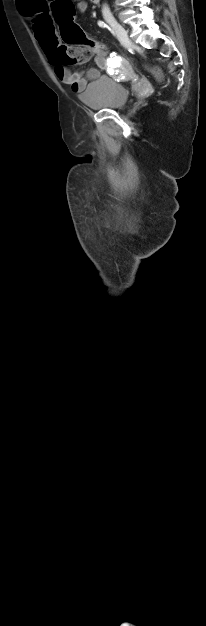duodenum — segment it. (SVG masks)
Listing matches in <instances>:
<instances>
[{
  "label": "duodenum",
  "instance_id": "1",
  "mask_svg": "<svg viewBox=\"0 0 206 626\" xmlns=\"http://www.w3.org/2000/svg\"><path fill=\"white\" fill-rule=\"evenodd\" d=\"M93 3H98L100 0H90Z\"/></svg>",
  "mask_w": 206,
  "mask_h": 626
}]
</instances>
